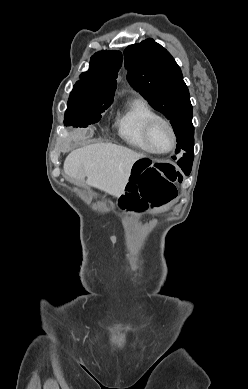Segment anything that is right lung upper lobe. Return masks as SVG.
Segmentation results:
<instances>
[{
	"label": "right lung upper lobe",
	"mask_w": 248,
	"mask_h": 389,
	"mask_svg": "<svg viewBox=\"0 0 248 389\" xmlns=\"http://www.w3.org/2000/svg\"><path fill=\"white\" fill-rule=\"evenodd\" d=\"M121 64L120 51H99L91 57L89 70L80 75L78 82L91 91L115 94Z\"/></svg>",
	"instance_id": "cb5924a9"
}]
</instances>
